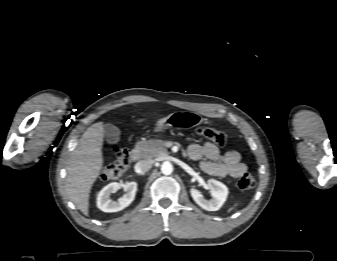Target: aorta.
Instances as JSON below:
<instances>
[{"mask_svg": "<svg viewBox=\"0 0 337 261\" xmlns=\"http://www.w3.org/2000/svg\"><path fill=\"white\" fill-rule=\"evenodd\" d=\"M161 172L165 175H170L173 172V166L169 161H165L161 165Z\"/></svg>", "mask_w": 337, "mask_h": 261, "instance_id": "aorta-1", "label": "aorta"}]
</instances>
